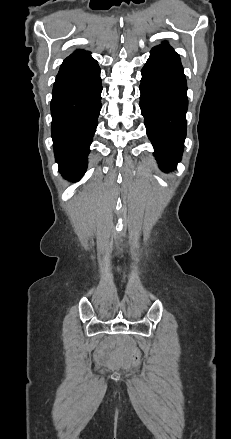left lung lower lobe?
<instances>
[{
	"mask_svg": "<svg viewBox=\"0 0 231 439\" xmlns=\"http://www.w3.org/2000/svg\"><path fill=\"white\" fill-rule=\"evenodd\" d=\"M140 108L160 168L168 172L180 161L186 137L187 83L179 55L156 46L144 65Z\"/></svg>",
	"mask_w": 231,
	"mask_h": 439,
	"instance_id": "1",
	"label": "left lung lower lobe"
}]
</instances>
